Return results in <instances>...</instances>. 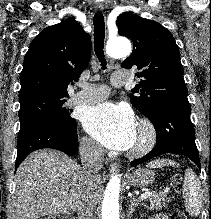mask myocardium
Listing matches in <instances>:
<instances>
[{"instance_id": "myocardium-1", "label": "myocardium", "mask_w": 211, "mask_h": 219, "mask_svg": "<svg viewBox=\"0 0 211 219\" xmlns=\"http://www.w3.org/2000/svg\"><path fill=\"white\" fill-rule=\"evenodd\" d=\"M157 141V132L154 125L149 120H142L139 124V134L137 142L130 151L131 157H142L149 153Z\"/></svg>"}]
</instances>
